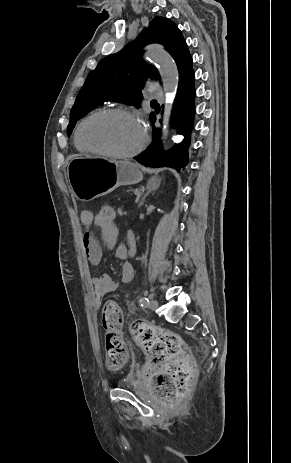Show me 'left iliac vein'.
Returning <instances> with one entry per match:
<instances>
[{
  "instance_id": "obj_1",
  "label": "left iliac vein",
  "mask_w": 291,
  "mask_h": 463,
  "mask_svg": "<svg viewBox=\"0 0 291 463\" xmlns=\"http://www.w3.org/2000/svg\"><path fill=\"white\" fill-rule=\"evenodd\" d=\"M157 307H158V302H157L156 300H151V301L149 302V308H150L151 310H155Z\"/></svg>"
}]
</instances>
